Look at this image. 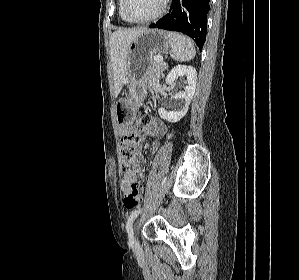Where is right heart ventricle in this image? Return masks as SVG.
Returning a JSON list of instances; mask_svg holds the SVG:
<instances>
[{
    "mask_svg": "<svg viewBox=\"0 0 299 280\" xmlns=\"http://www.w3.org/2000/svg\"><path fill=\"white\" fill-rule=\"evenodd\" d=\"M119 16L124 23H129V21L127 20V18L124 15L123 0H119Z\"/></svg>",
    "mask_w": 299,
    "mask_h": 280,
    "instance_id": "right-heart-ventricle-1",
    "label": "right heart ventricle"
}]
</instances>
